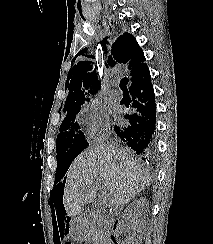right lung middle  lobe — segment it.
<instances>
[{
	"mask_svg": "<svg viewBox=\"0 0 213 244\" xmlns=\"http://www.w3.org/2000/svg\"><path fill=\"white\" fill-rule=\"evenodd\" d=\"M80 111L81 105L64 110L66 115L60 126V133L56 142L57 170L55 183L61 180L71 162L88 146L83 133L80 131Z\"/></svg>",
	"mask_w": 213,
	"mask_h": 244,
	"instance_id": "1",
	"label": "right lung middle lobe"
}]
</instances>
